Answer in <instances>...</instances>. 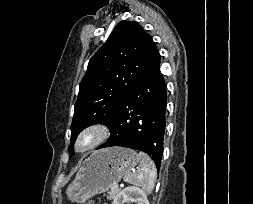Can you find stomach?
<instances>
[{"instance_id": "obj_1", "label": "stomach", "mask_w": 253, "mask_h": 204, "mask_svg": "<svg viewBox=\"0 0 253 204\" xmlns=\"http://www.w3.org/2000/svg\"><path fill=\"white\" fill-rule=\"evenodd\" d=\"M139 161L138 154L128 148L112 147L92 153L81 165L66 189L72 202L84 204L96 194L108 191L130 173Z\"/></svg>"}]
</instances>
